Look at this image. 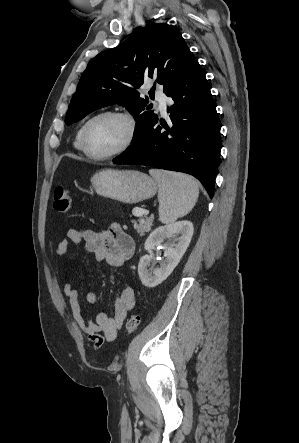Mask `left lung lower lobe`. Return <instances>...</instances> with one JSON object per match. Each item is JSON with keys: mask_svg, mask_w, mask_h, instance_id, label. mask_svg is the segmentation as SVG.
I'll return each mask as SVG.
<instances>
[{"mask_svg": "<svg viewBox=\"0 0 299 443\" xmlns=\"http://www.w3.org/2000/svg\"><path fill=\"white\" fill-rule=\"evenodd\" d=\"M166 95L172 100L167 109L170 126L157 118L113 163L188 173L203 184L212 198L220 156V127L199 63Z\"/></svg>", "mask_w": 299, "mask_h": 443, "instance_id": "1", "label": "left lung lower lobe"}]
</instances>
